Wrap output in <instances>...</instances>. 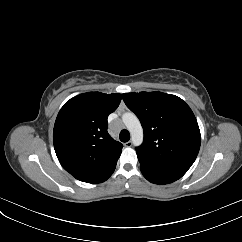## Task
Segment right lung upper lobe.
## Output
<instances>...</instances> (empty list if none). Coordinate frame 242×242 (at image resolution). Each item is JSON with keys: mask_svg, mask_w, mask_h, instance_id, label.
Segmentation results:
<instances>
[{"mask_svg": "<svg viewBox=\"0 0 242 242\" xmlns=\"http://www.w3.org/2000/svg\"><path fill=\"white\" fill-rule=\"evenodd\" d=\"M120 101V94L88 92L59 111L54 149L62 167L76 179L89 183L118 160L123 145L108 134L107 118Z\"/></svg>", "mask_w": 242, "mask_h": 242, "instance_id": "cb5924a9", "label": "right lung upper lobe"}]
</instances>
